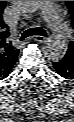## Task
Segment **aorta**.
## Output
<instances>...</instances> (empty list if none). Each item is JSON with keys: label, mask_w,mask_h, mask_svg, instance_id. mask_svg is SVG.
Masks as SVG:
<instances>
[{"label": "aorta", "mask_w": 74, "mask_h": 122, "mask_svg": "<svg viewBox=\"0 0 74 122\" xmlns=\"http://www.w3.org/2000/svg\"><path fill=\"white\" fill-rule=\"evenodd\" d=\"M42 4V1H13V5L23 14L37 12ZM67 49V41L61 35H54L47 40L43 51L49 60L59 61L65 56Z\"/></svg>", "instance_id": "762f6f07"}]
</instances>
